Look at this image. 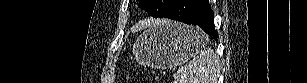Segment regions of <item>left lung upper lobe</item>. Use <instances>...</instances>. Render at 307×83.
Returning <instances> with one entry per match:
<instances>
[{
	"instance_id": "1",
	"label": "left lung upper lobe",
	"mask_w": 307,
	"mask_h": 83,
	"mask_svg": "<svg viewBox=\"0 0 307 83\" xmlns=\"http://www.w3.org/2000/svg\"><path fill=\"white\" fill-rule=\"evenodd\" d=\"M140 6L153 17H164L174 0H139Z\"/></svg>"
}]
</instances>
